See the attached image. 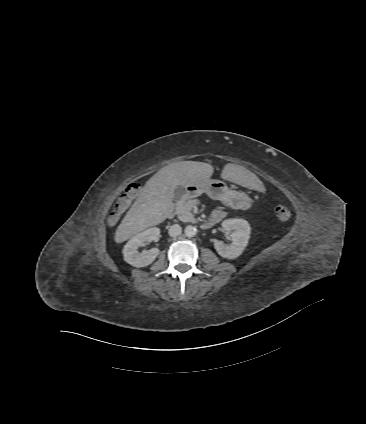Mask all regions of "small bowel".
Masks as SVG:
<instances>
[{
  "instance_id": "1",
  "label": "small bowel",
  "mask_w": 366,
  "mask_h": 424,
  "mask_svg": "<svg viewBox=\"0 0 366 424\" xmlns=\"http://www.w3.org/2000/svg\"><path fill=\"white\" fill-rule=\"evenodd\" d=\"M226 213L222 209L214 210L211 219H214L217 222L221 221L225 217Z\"/></svg>"
}]
</instances>
